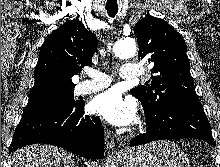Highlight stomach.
<instances>
[{"mask_svg":"<svg viewBox=\"0 0 220 167\" xmlns=\"http://www.w3.org/2000/svg\"><path fill=\"white\" fill-rule=\"evenodd\" d=\"M124 167H190L183 150L172 141L153 142L125 151Z\"/></svg>","mask_w":220,"mask_h":167,"instance_id":"obj_1","label":"stomach"}]
</instances>
